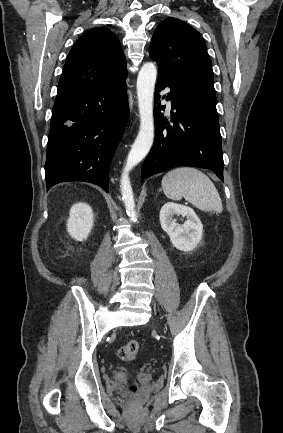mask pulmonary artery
Here are the masks:
<instances>
[{
  "label": "pulmonary artery",
  "instance_id": "1",
  "mask_svg": "<svg viewBox=\"0 0 283 433\" xmlns=\"http://www.w3.org/2000/svg\"><path fill=\"white\" fill-rule=\"evenodd\" d=\"M167 105H168V107H171V105H172L171 100L168 101Z\"/></svg>",
  "mask_w": 283,
  "mask_h": 433
}]
</instances>
